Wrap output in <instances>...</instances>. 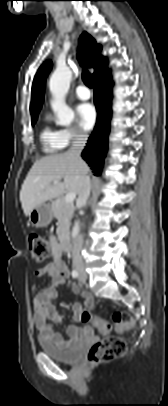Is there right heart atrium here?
<instances>
[{
	"label": "right heart atrium",
	"mask_w": 168,
	"mask_h": 406,
	"mask_svg": "<svg viewBox=\"0 0 168 406\" xmlns=\"http://www.w3.org/2000/svg\"><path fill=\"white\" fill-rule=\"evenodd\" d=\"M66 145L87 139V134L80 128H65L61 130Z\"/></svg>",
	"instance_id": "right-heart-atrium-1"
}]
</instances>
